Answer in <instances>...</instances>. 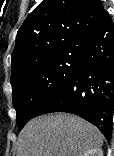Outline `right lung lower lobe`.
<instances>
[{
	"label": "right lung lower lobe",
	"instance_id": "1",
	"mask_svg": "<svg viewBox=\"0 0 114 156\" xmlns=\"http://www.w3.org/2000/svg\"><path fill=\"white\" fill-rule=\"evenodd\" d=\"M81 64L64 90L39 115L67 112L94 124L110 139L114 110V23L108 14L78 44Z\"/></svg>",
	"mask_w": 114,
	"mask_h": 156
}]
</instances>
